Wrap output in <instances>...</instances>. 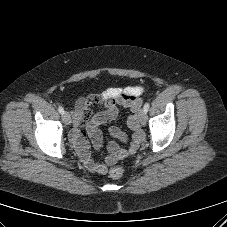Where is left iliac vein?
<instances>
[{
    "label": "left iliac vein",
    "mask_w": 227,
    "mask_h": 227,
    "mask_svg": "<svg viewBox=\"0 0 227 227\" xmlns=\"http://www.w3.org/2000/svg\"><path fill=\"white\" fill-rule=\"evenodd\" d=\"M138 120L140 122L141 125H145L146 121H147V113L143 110H140L139 114H138Z\"/></svg>",
    "instance_id": "obj_1"
}]
</instances>
